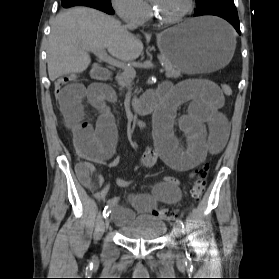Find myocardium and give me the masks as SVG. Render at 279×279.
Wrapping results in <instances>:
<instances>
[{"mask_svg":"<svg viewBox=\"0 0 279 279\" xmlns=\"http://www.w3.org/2000/svg\"><path fill=\"white\" fill-rule=\"evenodd\" d=\"M194 4H195L194 0H187V7L178 16L173 17V18H164L156 12L155 8L152 5H150V8H151L153 17L159 23L172 25V24L179 23V22L183 21L186 17H188L194 9Z\"/></svg>","mask_w":279,"mask_h":279,"instance_id":"1","label":"myocardium"}]
</instances>
